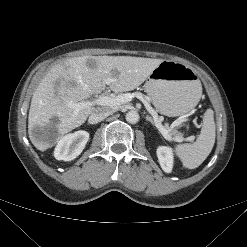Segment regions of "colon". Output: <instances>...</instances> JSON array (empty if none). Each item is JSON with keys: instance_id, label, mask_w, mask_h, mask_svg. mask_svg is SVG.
Returning a JSON list of instances; mask_svg holds the SVG:
<instances>
[{"instance_id": "colon-1", "label": "colon", "mask_w": 247, "mask_h": 247, "mask_svg": "<svg viewBox=\"0 0 247 247\" xmlns=\"http://www.w3.org/2000/svg\"><path fill=\"white\" fill-rule=\"evenodd\" d=\"M191 121H192L191 116H184V117H182V118L180 119V124H181L183 127L187 128V127L190 126Z\"/></svg>"}]
</instances>
